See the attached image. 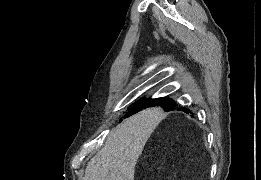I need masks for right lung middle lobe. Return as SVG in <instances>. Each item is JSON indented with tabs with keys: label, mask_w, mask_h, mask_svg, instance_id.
<instances>
[{
	"label": "right lung middle lobe",
	"mask_w": 261,
	"mask_h": 180,
	"mask_svg": "<svg viewBox=\"0 0 261 180\" xmlns=\"http://www.w3.org/2000/svg\"><path fill=\"white\" fill-rule=\"evenodd\" d=\"M148 105H157L161 106L165 111H169L173 107V101L171 99H166V98H156V99H150V100H139L132 104L126 113V116H130L133 113H136L143 108H146Z\"/></svg>",
	"instance_id": "right-lung-middle-lobe-1"
}]
</instances>
